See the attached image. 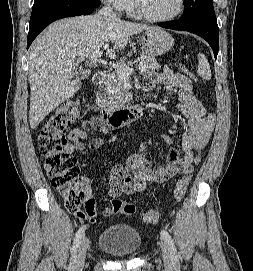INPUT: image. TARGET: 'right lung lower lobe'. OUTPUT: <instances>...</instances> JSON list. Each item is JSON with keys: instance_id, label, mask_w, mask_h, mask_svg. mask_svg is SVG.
<instances>
[{"instance_id": "obj_1", "label": "right lung lower lobe", "mask_w": 253, "mask_h": 271, "mask_svg": "<svg viewBox=\"0 0 253 271\" xmlns=\"http://www.w3.org/2000/svg\"><path fill=\"white\" fill-rule=\"evenodd\" d=\"M96 7H92L86 4H76L72 6L59 7L56 9L49 10L35 19L31 20L29 23V33L27 39V49L31 45L32 41L36 36L50 23L55 20L72 17L77 15H88L91 14Z\"/></svg>"}]
</instances>
